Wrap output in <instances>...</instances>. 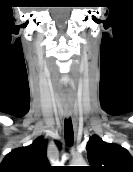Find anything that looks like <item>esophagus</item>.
I'll return each instance as SVG.
<instances>
[{
    "instance_id": "34e87169",
    "label": "esophagus",
    "mask_w": 133,
    "mask_h": 172,
    "mask_svg": "<svg viewBox=\"0 0 133 172\" xmlns=\"http://www.w3.org/2000/svg\"><path fill=\"white\" fill-rule=\"evenodd\" d=\"M65 116L67 119H69L70 117H72V113H71V110H65Z\"/></svg>"
}]
</instances>
